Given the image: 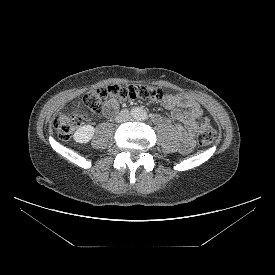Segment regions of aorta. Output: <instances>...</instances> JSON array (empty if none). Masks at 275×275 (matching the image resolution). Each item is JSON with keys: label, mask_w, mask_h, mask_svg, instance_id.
<instances>
[{"label": "aorta", "mask_w": 275, "mask_h": 275, "mask_svg": "<svg viewBox=\"0 0 275 275\" xmlns=\"http://www.w3.org/2000/svg\"><path fill=\"white\" fill-rule=\"evenodd\" d=\"M131 115L135 120H143L145 118V111L136 107L131 110Z\"/></svg>", "instance_id": "aorta-1"}]
</instances>
